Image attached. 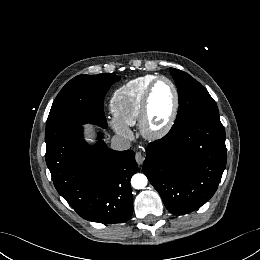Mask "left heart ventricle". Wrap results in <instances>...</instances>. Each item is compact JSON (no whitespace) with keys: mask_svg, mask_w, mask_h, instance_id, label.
Wrapping results in <instances>:
<instances>
[{"mask_svg":"<svg viewBox=\"0 0 260 260\" xmlns=\"http://www.w3.org/2000/svg\"><path fill=\"white\" fill-rule=\"evenodd\" d=\"M174 107L172 87L165 81L157 84L150 102L149 127L162 128L169 120Z\"/></svg>","mask_w":260,"mask_h":260,"instance_id":"1","label":"left heart ventricle"}]
</instances>
